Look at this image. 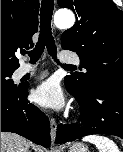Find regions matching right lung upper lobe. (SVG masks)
<instances>
[{"mask_svg":"<svg viewBox=\"0 0 123 152\" xmlns=\"http://www.w3.org/2000/svg\"><path fill=\"white\" fill-rule=\"evenodd\" d=\"M38 12V0H1V68L17 69L16 51L33 46Z\"/></svg>","mask_w":123,"mask_h":152,"instance_id":"1","label":"right lung upper lobe"}]
</instances>
